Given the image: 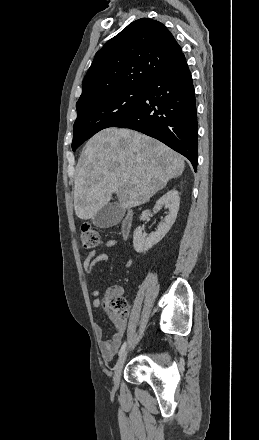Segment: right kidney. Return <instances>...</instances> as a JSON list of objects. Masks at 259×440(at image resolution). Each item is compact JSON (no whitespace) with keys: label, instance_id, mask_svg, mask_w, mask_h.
<instances>
[{"label":"right kidney","instance_id":"obj_1","mask_svg":"<svg viewBox=\"0 0 259 440\" xmlns=\"http://www.w3.org/2000/svg\"><path fill=\"white\" fill-rule=\"evenodd\" d=\"M179 205L180 196L175 189L168 191L156 202L153 208L154 212L158 211L162 206L168 208L169 212L164 221L159 224L158 229L150 235L146 236L143 234L144 228L140 226L135 229L133 234V247L136 252L145 253L165 237L176 220ZM148 216H152V214L149 210H145L142 212L140 220L144 221Z\"/></svg>","mask_w":259,"mask_h":440}]
</instances>
